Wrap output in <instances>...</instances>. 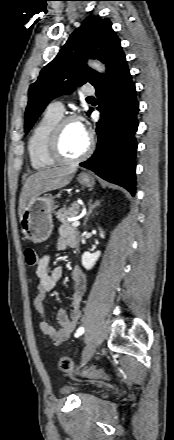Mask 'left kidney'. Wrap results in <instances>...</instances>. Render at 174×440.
Here are the masks:
<instances>
[{"instance_id":"obj_1","label":"left kidney","mask_w":174,"mask_h":440,"mask_svg":"<svg viewBox=\"0 0 174 440\" xmlns=\"http://www.w3.org/2000/svg\"><path fill=\"white\" fill-rule=\"evenodd\" d=\"M100 236L101 238H104V233L101 230H100ZM100 255H101L100 251H97L95 253L84 252L81 260L82 266L87 270L92 269L93 266L96 264L97 260L99 259Z\"/></svg>"}]
</instances>
